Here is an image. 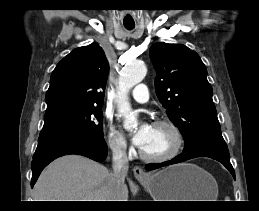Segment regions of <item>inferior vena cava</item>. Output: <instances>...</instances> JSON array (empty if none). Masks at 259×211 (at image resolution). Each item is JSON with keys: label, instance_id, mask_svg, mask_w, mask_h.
<instances>
[{"label": "inferior vena cava", "instance_id": "obj_1", "mask_svg": "<svg viewBox=\"0 0 259 211\" xmlns=\"http://www.w3.org/2000/svg\"><path fill=\"white\" fill-rule=\"evenodd\" d=\"M112 149V167L113 172L110 174V199L108 201H120L118 198V190L124 185L125 177L128 172L129 163L126 148L120 143H114Z\"/></svg>", "mask_w": 259, "mask_h": 211}]
</instances>
